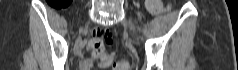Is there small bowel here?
<instances>
[{"instance_id":"obj_1","label":"small bowel","mask_w":238,"mask_h":70,"mask_svg":"<svg viewBox=\"0 0 238 70\" xmlns=\"http://www.w3.org/2000/svg\"><path fill=\"white\" fill-rule=\"evenodd\" d=\"M98 58H102V56L96 55L95 53H93V57L91 59L85 60L82 64V68L83 70H89L92 68L94 61Z\"/></svg>"}]
</instances>
